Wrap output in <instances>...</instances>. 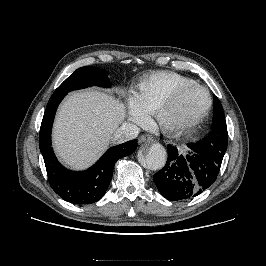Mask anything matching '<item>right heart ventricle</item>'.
Segmentation results:
<instances>
[{
    "instance_id": "right-heart-ventricle-1",
    "label": "right heart ventricle",
    "mask_w": 266,
    "mask_h": 266,
    "mask_svg": "<svg viewBox=\"0 0 266 266\" xmlns=\"http://www.w3.org/2000/svg\"><path fill=\"white\" fill-rule=\"evenodd\" d=\"M194 82V80L174 72L152 73L137 85L133 102L145 114L154 115L175 89Z\"/></svg>"
}]
</instances>
